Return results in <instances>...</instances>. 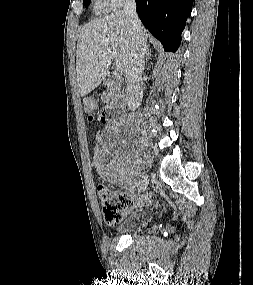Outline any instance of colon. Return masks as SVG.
Returning <instances> with one entry per match:
<instances>
[{
    "mask_svg": "<svg viewBox=\"0 0 253 285\" xmlns=\"http://www.w3.org/2000/svg\"><path fill=\"white\" fill-rule=\"evenodd\" d=\"M86 110L88 121L94 122L96 104L93 101H88ZM97 194L101 201L104 220L109 224L117 223L134 205V200L129 194L109 189L102 184L97 186Z\"/></svg>",
    "mask_w": 253,
    "mask_h": 285,
    "instance_id": "5ec220e1",
    "label": "colon"
}]
</instances>
